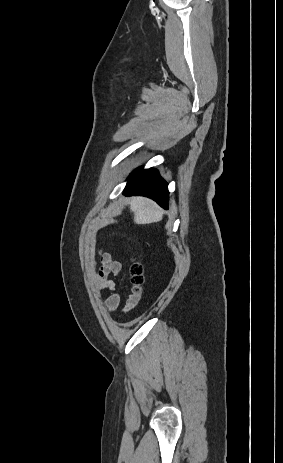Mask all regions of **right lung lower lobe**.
Wrapping results in <instances>:
<instances>
[{
    "label": "right lung lower lobe",
    "mask_w": 283,
    "mask_h": 463,
    "mask_svg": "<svg viewBox=\"0 0 283 463\" xmlns=\"http://www.w3.org/2000/svg\"><path fill=\"white\" fill-rule=\"evenodd\" d=\"M125 195H142L155 200L163 208H168L167 183L153 169H138L128 179Z\"/></svg>",
    "instance_id": "98d812e1"
}]
</instances>
